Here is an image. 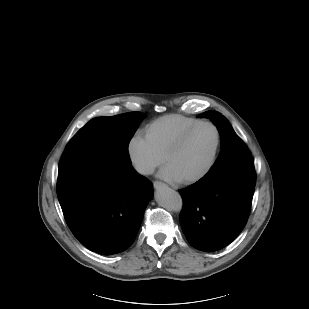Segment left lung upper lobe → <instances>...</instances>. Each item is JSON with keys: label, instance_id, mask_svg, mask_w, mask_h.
<instances>
[{"label": "left lung upper lobe", "instance_id": "obj_1", "mask_svg": "<svg viewBox=\"0 0 309 309\" xmlns=\"http://www.w3.org/2000/svg\"><path fill=\"white\" fill-rule=\"evenodd\" d=\"M198 117L209 118L217 126L221 136L220 155L207 175H213L233 162L251 158L245 143L238 137L229 121L222 114L217 111H207Z\"/></svg>", "mask_w": 309, "mask_h": 309}]
</instances>
